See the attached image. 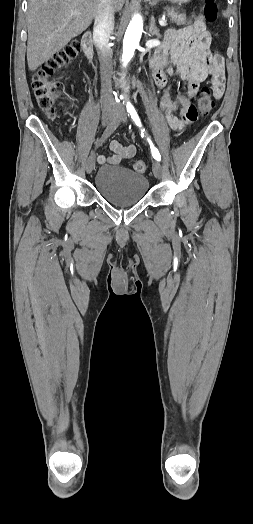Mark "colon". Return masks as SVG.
Instances as JSON below:
<instances>
[{
	"label": "colon",
	"mask_w": 253,
	"mask_h": 524,
	"mask_svg": "<svg viewBox=\"0 0 253 524\" xmlns=\"http://www.w3.org/2000/svg\"><path fill=\"white\" fill-rule=\"evenodd\" d=\"M203 15L208 22H215L218 10L214 0H204ZM80 50V43L73 41L60 50L54 57L46 61L32 77V89L39 107L51 119L56 117L55 103L58 97L57 75L59 70L71 59L75 58ZM211 107V94L204 89L199 97V111L206 113ZM137 172L146 170V163L138 160L134 163Z\"/></svg>",
	"instance_id": "colon-1"
}]
</instances>
